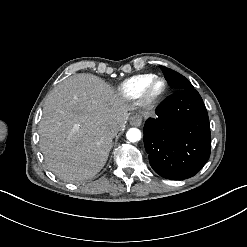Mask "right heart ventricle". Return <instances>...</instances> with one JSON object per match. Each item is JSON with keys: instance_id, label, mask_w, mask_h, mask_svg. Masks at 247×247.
I'll return each instance as SVG.
<instances>
[{"instance_id": "right-heart-ventricle-1", "label": "right heart ventricle", "mask_w": 247, "mask_h": 247, "mask_svg": "<svg viewBox=\"0 0 247 247\" xmlns=\"http://www.w3.org/2000/svg\"><path fill=\"white\" fill-rule=\"evenodd\" d=\"M153 77H156V75L142 74L124 80L118 86L122 101H131L139 99L142 86Z\"/></svg>"}]
</instances>
